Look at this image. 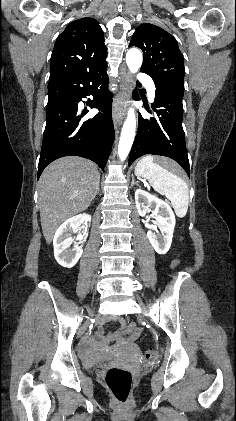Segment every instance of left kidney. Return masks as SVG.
<instances>
[{"label":"left kidney","mask_w":236,"mask_h":421,"mask_svg":"<svg viewBox=\"0 0 236 421\" xmlns=\"http://www.w3.org/2000/svg\"><path fill=\"white\" fill-rule=\"evenodd\" d=\"M135 202L140 217H145L149 208H152L151 213L154 215L153 219H155L154 225L160 229L161 233H153L157 229H151V231H148L147 237L156 253L165 255L171 247L176 223L171 206L165 200L153 196L142 188L135 190Z\"/></svg>","instance_id":"left-kidney-1"}]
</instances>
